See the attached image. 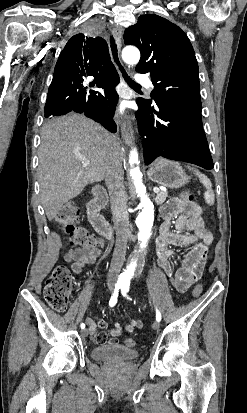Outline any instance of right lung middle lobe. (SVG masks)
<instances>
[{"label": "right lung middle lobe", "mask_w": 247, "mask_h": 413, "mask_svg": "<svg viewBox=\"0 0 247 413\" xmlns=\"http://www.w3.org/2000/svg\"><path fill=\"white\" fill-rule=\"evenodd\" d=\"M72 91L73 89L67 84L51 83L49 90H48L47 99L50 100V99L64 97V96L69 95Z\"/></svg>", "instance_id": "obj_1"}]
</instances>
